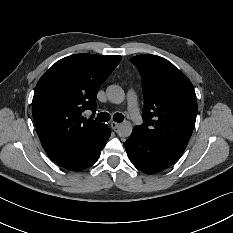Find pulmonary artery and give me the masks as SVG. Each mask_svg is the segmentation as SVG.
<instances>
[{"mask_svg":"<svg viewBox=\"0 0 233 233\" xmlns=\"http://www.w3.org/2000/svg\"><path fill=\"white\" fill-rule=\"evenodd\" d=\"M128 101V115L131 118V122L134 126L140 127L144 124L145 119L142 116L141 110L138 108V97L133 89H129L127 92Z\"/></svg>","mask_w":233,"mask_h":233,"instance_id":"pulmonary-artery-1","label":"pulmonary artery"}]
</instances>
